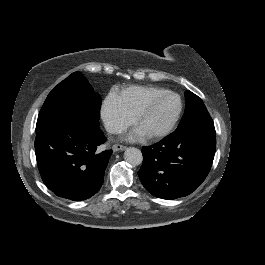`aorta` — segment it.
I'll list each match as a JSON object with an SVG mask.
<instances>
[{
  "instance_id": "aorta-1",
  "label": "aorta",
  "mask_w": 265,
  "mask_h": 265,
  "mask_svg": "<svg viewBox=\"0 0 265 265\" xmlns=\"http://www.w3.org/2000/svg\"><path fill=\"white\" fill-rule=\"evenodd\" d=\"M124 158L127 163L133 166H138L143 161V156H142L141 151L135 147L127 148L124 153Z\"/></svg>"
}]
</instances>
